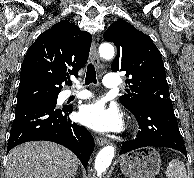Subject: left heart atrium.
<instances>
[{
  "instance_id": "39dd6f15",
  "label": "left heart atrium",
  "mask_w": 194,
  "mask_h": 178,
  "mask_svg": "<svg viewBox=\"0 0 194 178\" xmlns=\"http://www.w3.org/2000/svg\"><path fill=\"white\" fill-rule=\"evenodd\" d=\"M78 118L82 124L97 132H116L123 125L120 112L115 107H106L102 102L83 106Z\"/></svg>"
}]
</instances>
